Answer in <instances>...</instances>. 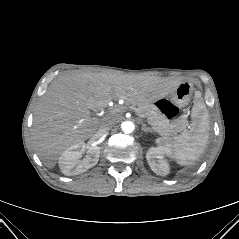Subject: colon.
Returning a JSON list of instances; mask_svg holds the SVG:
<instances>
[{
  "label": "colon",
  "instance_id": "5ec220e1",
  "mask_svg": "<svg viewBox=\"0 0 239 239\" xmlns=\"http://www.w3.org/2000/svg\"><path fill=\"white\" fill-rule=\"evenodd\" d=\"M158 108L163 114H165L169 119H174L178 114V109L170 101L162 99L157 103Z\"/></svg>",
  "mask_w": 239,
  "mask_h": 239
}]
</instances>
